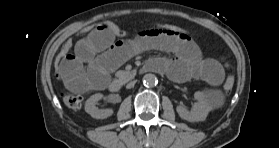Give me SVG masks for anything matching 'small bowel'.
Returning <instances> with one entry per match:
<instances>
[{
  "instance_id": "obj_1",
  "label": "small bowel",
  "mask_w": 279,
  "mask_h": 148,
  "mask_svg": "<svg viewBox=\"0 0 279 148\" xmlns=\"http://www.w3.org/2000/svg\"><path fill=\"white\" fill-rule=\"evenodd\" d=\"M148 50L175 54V58L156 57L148 61L152 70L165 72L175 81L197 78L211 86L223 81L222 66L204 58L191 38L160 31L116 40L108 30L93 29L77 41L74 52L63 58L58 75L76 93L103 89L110 72Z\"/></svg>"
}]
</instances>
